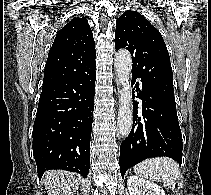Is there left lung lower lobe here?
<instances>
[{
  "label": "left lung lower lobe",
  "instance_id": "obj_1",
  "mask_svg": "<svg viewBox=\"0 0 211 195\" xmlns=\"http://www.w3.org/2000/svg\"><path fill=\"white\" fill-rule=\"evenodd\" d=\"M133 76V75H132ZM135 76L132 79V86ZM137 96L133 102V126L120 146V172L124 177L128 168L157 156H167L182 162V135L178 123L176 104L142 83L135 84Z\"/></svg>",
  "mask_w": 211,
  "mask_h": 195
}]
</instances>
